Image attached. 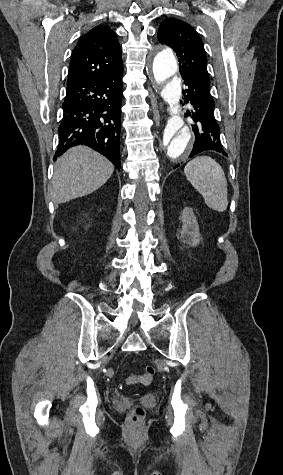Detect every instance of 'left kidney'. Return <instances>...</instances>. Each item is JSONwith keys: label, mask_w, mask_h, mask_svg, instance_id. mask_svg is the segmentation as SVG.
Instances as JSON below:
<instances>
[{"label": "left kidney", "mask_w": 283, "mask_h": 475, "mask_svg": "<svg viewBox=\"0 0 283 475\" xmlns=\"http://www.w3.org/2000/svg\"><path fill=\"white\" fill-rule=\"evenodd\" d=\"M181 222L183 224L180 232L181 241L189 243L192 247H196L202 238H200L197 218L192 208H184L181 214Z\"/></svg>", "instance_id": "5707ae66"}]
</instances>
